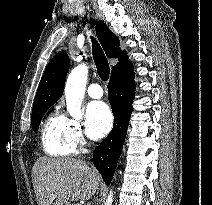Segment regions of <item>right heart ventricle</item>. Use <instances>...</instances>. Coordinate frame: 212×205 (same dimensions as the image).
Wrapping results in <instances>:
<instances>
[{"label":"right heart ventricle","mask_w":212,"mask_h":205,"mask_svg":"<svg viewBox=\"0 0 212 205\" xmlns=\"http://www.w3.org/2000/svg\"><path fill=\"white\" fill-rule=\"evenodd\" d=\"M41 144L45 153L54 157H68L75 152L66 117L51 113L46 118L41 129Z\"/></svg>","instance_id":"e07e8e85"}]
</instances>
